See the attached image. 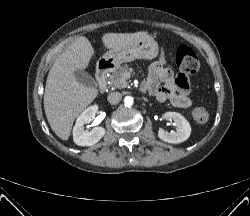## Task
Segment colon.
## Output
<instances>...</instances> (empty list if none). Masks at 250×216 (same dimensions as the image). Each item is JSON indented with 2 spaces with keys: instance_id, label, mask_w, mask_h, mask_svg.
Listing matches in <instances>:
<instances>
[{
  "instance_id": "1",
  "label": "colon",
  "mask_w": 250,
  "mask_h": 216,
  "mask_svg": "<svg viewBox=\"0 0 250 216\" xmlns=\"http://www.w3.org/2000/svg\"><path fill=\"white\" fill-rule=\"evenodd\" d=\"M176 63L181 72L184 74H194L199 70V60L194 50L186 45L178 47L176 51ZM192 117L198 124H205L209 119L207 108L198 104L192 111Z\"/></svg>"
}]
</instances>
